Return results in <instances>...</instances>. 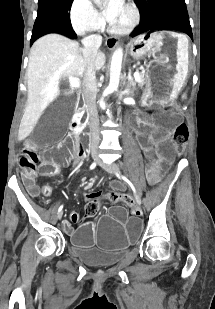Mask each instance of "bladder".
Segmentation results:
<instances>
[{
	"mask_svg": "<svg viewBox=\"0 0 215 309\" xmlns=\"http://www.w3.org/2000/svg\"><path fill=\"white\" fill-rule=\"evenodd\" d=\"M76 255L83 263L87 265L95 267H109L122 261L126 253L77 252Z\"/></svg>",
	"mask_w": 215,
	"mask_h": 309,
	"instance_id": "bladder-1",
	"label": "bladder"
}]
</instances>
